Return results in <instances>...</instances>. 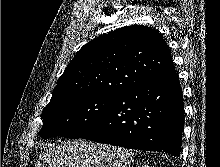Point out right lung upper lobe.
<instances>
[{"instance_id": "right-lung-upper-lobe-1", "label": "right lung upper lobe", "mask_w": 220, "mask_h": 167, "mask_svg": "<svg viewBox=\"0 0 220 167\" xmlns=\"http://www.w3.org/2000/svg\"><path fill=\"white\" fill-rule=\"evenodd\" d=\"M174 72L162 35L132 25L84 45L57 81L51 100L75 93L118 94Z\"/></svg>"}]
</instances>
